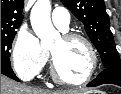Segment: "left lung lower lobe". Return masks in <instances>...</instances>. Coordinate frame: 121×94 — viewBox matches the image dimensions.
Here are the masks:
<instances>
[{
    "label": "left lung lower lobe",
    "mask_w": 121,
    "mask_h": 94,
    "mask_svg": "<svg viewBox=\"0 0 121 94\" xmlns=\"http://www.w3.org/2000/svg\"><path fill=\"white\" fill-rule=\"evenodd\" d=\"M102 84H115L121 86V69L119 68L105 69L87 86L96 87Z\"/></svg>",
    "instance_id": "obj_1"
}]
</instances>
